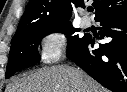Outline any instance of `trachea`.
<instances>
[{"label": "trachea", "mask_w": 127, "mask_h": 92, "mask_svg": "<svg viewBox=\"0 0 127 92\" xmlns=\"http://www.w3.org/2000/svg\"><path fill=\"white\" fill-rule=\"evenodd\" d=\"M93 10H94V9H93L92 7H89V8H88V11H89V12H93Z\"/></svg>", "instance_id": "3493384b"}]
</instances>
